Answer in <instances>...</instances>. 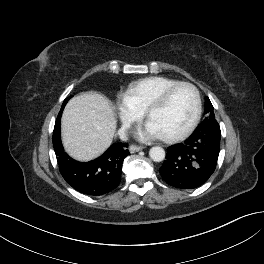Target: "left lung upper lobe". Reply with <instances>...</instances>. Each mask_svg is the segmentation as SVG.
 <instances>
[{
	"mask_svg": "<svg viewBox=\"0 0 264 264\" xmlns=\"http://www.w3.org/2000/svg\"><path fill=\"white\" fill-rule=\"evenodd\" d=\"M213 109H214L213 105L210 102L209 98L207 97L205 99V113L207 115L205 120H215V115H214Z\"/></svg>",
	"mask_w": 264,
	"mask_h": 264,
	"instance_id": "5c2ea615",
	"label": "left lung upper lobe"
}]
</instances>
